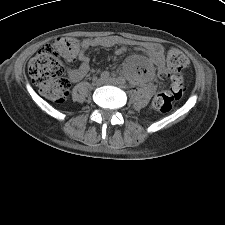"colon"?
Instances as JSON below:
<instances>
[{
    "mask_svg": "<svg viewBox=\"0 0 225 225\" xmlns=\"http://www.w3.org/2000/svg\"><path fill=\"white\" fill-rule=\"evenodd\" d=\"M79 54V41L70 36H62L45 44L30 61L28 75L38 86L39 92L55 104L63 103L69 94V82L64 78V61L75 62ZM188 60L178 49L167 53L166 66L160 70L161 77H170L171 88L159 92L153 98V107L168 112L174 103L181 99L184 91L179 72L186 67Z\"/></svg>",
    "mask_w": 225,
    "mask_h": 225,
    "instance_id": "obj_1",
    "label": "colon"
}]
</instances>
